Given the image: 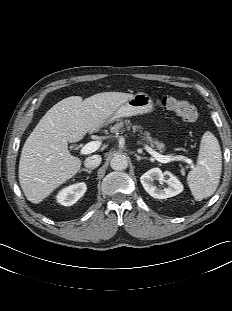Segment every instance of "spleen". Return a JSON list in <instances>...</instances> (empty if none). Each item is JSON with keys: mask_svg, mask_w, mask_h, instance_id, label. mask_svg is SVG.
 Returning a JSON list of instances; mask_svg holds the SVG:
<instances>
[{"mask_svg": "<svg viewBox=\"0 0 232 311\" xmlns=\"http://www.w3.org/2000/svg\"><path fill=\"white\" fill-rule=\"evenodd\" d=\"M222 154L217 138L209 131L202 136L197 165L188 173L187 183L195 200L212 196L220 181Z\"/></svg>", "mask_w": 232, "mask_h": 311, "instance_id": "obj_1", "label": "spleen"}]
</instances>
